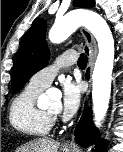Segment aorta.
<instances>
[{
  "label": "aorta",
  "mask_w": 123,
  "mask_h": 152,
  "mask_svg": "<svg viewBox=\"0 0 123 152\" xmlns=\"http://www.w3.org/2000/svg\"><path fill=\"white\" fill-rule=\"evenodd\" d=\"M80 26H85L98 42L99 51L92 74V100L94 122L100 127L108 110L115 53L114 38L108 24L95 12L73 11L55 21L48 37L52 43H61ZM49 98L50 94L44 98L45 104Z\"/></svg>",
  "instance_id": "obj_1"
}]
</instances>
